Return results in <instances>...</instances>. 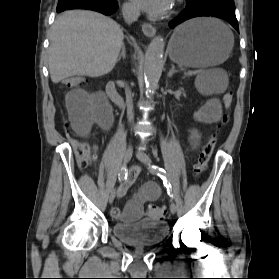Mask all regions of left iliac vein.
I'll return each instance as SVG.
<instances>
[{
  "instance_id": "left-iliac-vein-1",
  "label": "left iliac vein",
  "mask_w": 279,
  "mask_h": 279,
  "mask_svg": "<svg viewBox=\"0 0 279 279\" xmlns=\"http://www.w3.org/2000/svg\"><path fill=\"white\" fill-rule=\"evenodd\" d=\"M136 157H137L141 162H143V163L146 164V165L151 163L150 160L147 158L146 154H144V153L141 152V151H138V152L136 153ZM176 211H177L176 205H175V203H174L173 201H171V203H170V212H171L172 214H175Z\"/></svg>"
}]
</instances>
